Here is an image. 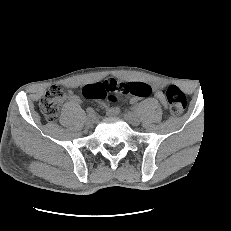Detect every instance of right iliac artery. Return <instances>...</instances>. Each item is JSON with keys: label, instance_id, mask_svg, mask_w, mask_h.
<instances>
[{"label": "right iliac artery", "instance_id": "82829eb1", "mask_svg": "<svg viewBox=\"0 0 231 231\" xmlns=\"http://www.w3.org/2000/svg\"><path fill=\"white\" fill-rule=\"evenodd\" d=\"M87 113H88L89 115H95V111H94L93 108H88V109H87Z\"/></svg>", "mask_w": 231, "mask_h": 231}]
</instances>
